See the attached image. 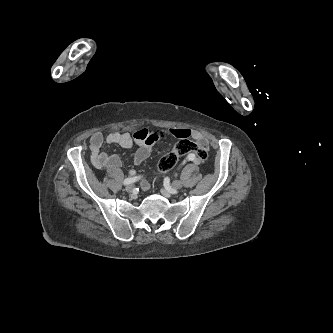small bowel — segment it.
<instances>
[{
    "label": "small bowel",
    "instance_id": "1",
    "mask_svg": "<svg viewBox=\"0 0 333 333\" xmlns=\"http://www.w3.org/2000/svg\"><path fill=\"white\" fill-rule=\"evenodd\" d=\"M166 134L180 139L191 137L200 147L205 149L209 147L208 138L197 130L187 128L169 129ZM164 135V132L150 129H141L133 134L112 132L106 137L100 132H95L91 135L89 140L91 163L98 170L106 169L115 171L119 167L120 159L117 155L107 154L101 150L102 145L106 142L108 144L119 145L123 148H131L134 145L137 146V150L134 154V163L140 165L151 155L153 143ZM186 161L196 163L195 156L189 155ZM130 174H134V172L131 171ZM143 188L147 189L148 184L144 183Z\"/></svg>",
    "mask_w": 333,
    "mask_h": 333
}]
</instances>
